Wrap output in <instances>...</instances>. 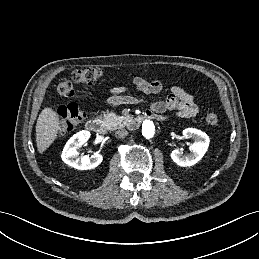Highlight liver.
<instances>
[{
    "mask_svg": "<svg viewBox=\"0 0 259 259\" xmlns=\"http://www.w3.org/2000/svg\"><path fill=\"white\" fill-rule=\"evenodd\" d=\"M61 129L60 118L56 111L46 107L40 113L36 124V144L39 153L45 152L56 140Z\"/></svg>",
    "mask_w": 259,
    "mask_h": 259,
    "instance_id": "liver-1",
    "label": "liver"
}]
</instances>
